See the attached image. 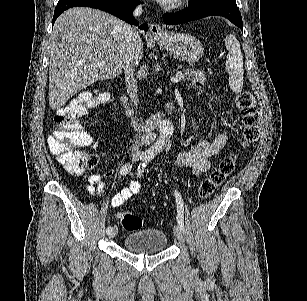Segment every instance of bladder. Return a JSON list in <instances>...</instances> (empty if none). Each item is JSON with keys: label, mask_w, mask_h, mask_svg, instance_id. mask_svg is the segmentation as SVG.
<instances>
[{"label": "bladder", "mask_w": 307, "mask_h": 301, "mask_svg": "<svg viewBox=\"0 0 307 301\" xmlns=\"http://www.w3.org/2000/svg\"><path fill=\"white\" fill-rule=\"evenodd\" d=\"M168 243L166 232L149 229L129 233L123 240L126 250L150 254L163 251Z\"/></svg>", "instance_id": "obj_1"}]
</instances>
